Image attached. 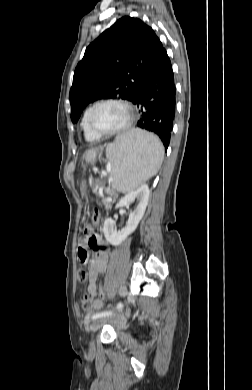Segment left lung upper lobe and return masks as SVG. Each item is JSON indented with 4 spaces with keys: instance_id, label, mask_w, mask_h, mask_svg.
<instances>
[{
    "instance_id": "1",
    "label": "left lung upper lobe",
    "mask_w": 252,
    "mask_h": 390,
    "mask_svg": "<svg viewBox=\"0 0 252 390\" xmlns=\"http://www.w3.org/2000/svg\"><path fill=\"white\" fill-rule=\"evenodd\" d=\"M163 46L140 19L122 17L86 49L70 90L71 120L98 99L134 100L137 86Z\"/></svg>"
}]
</instances>
